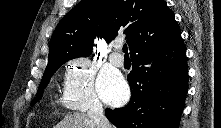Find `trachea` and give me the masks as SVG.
<instances>
[{
	"instance_id": "3493384b",
	"label": "trachea",
	"mask_w": 221,
	"mask_h": 128,
	"mask_svg": "<svg viewBox=\"0 0 221 128\" xmlns=\"http://www.w3.org/2000/svg\"><path fill=\"white\" fill-rule=\"evenodd\" d=\"M127 50H128L127 45L124 44L123 45V52L125 53V57H129V54L127 53Z\"/></svg>"
}]
</instances>
